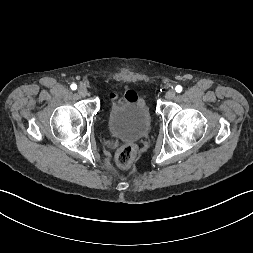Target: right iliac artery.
<instances>
[{
  "label": "right iliac artery",
  "instance_id": "1",
  "mask_svg": "<svg viewBox=\"0 0 253 253\" xmlns=\"http://www.w3.org/2000/svg\"><path fill=\"white\" fill-rule=\"evenodd\" d=\"M70 87H71L72 90H76L77 89V85L76 84H72Z\"/></svg>",
  "mask_w": 253,
  "mask_h": 253
}]
</instances>
